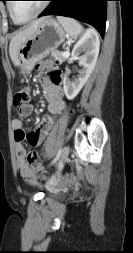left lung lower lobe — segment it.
I'll return each mask as SVG.
<instances>
[{"mask_svg":"<svg viewBox=\"0 0 133 253\" xmlns=\"http://www.w3.org/2000/svg\"><path fill=\"white\" fill-rule=\"evenodd\" d=\"M49 6L39 15H62L75 18L96 28L104 37L107 1L109 0H49Z\"/></svg>","mask_w":133,"mask_h":253,"instance_id":"obj_1","label":"left lung lower lobe"}]
</instances>
